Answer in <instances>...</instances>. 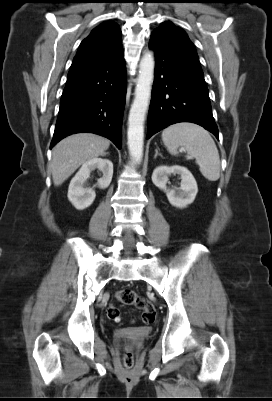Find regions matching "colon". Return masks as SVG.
Segmentation results:
<instances>
[{"label": "colon", "mask_w": 272, "mask_h": 401, "mask_svg": "<svg viewBox=\"0 0 272 401\" xmlns=\"http://www.w3.org/2000/svg\"><path fill=\"white\" fill-rule=\"evenodd\" d=\"M117 300L124 305H133L142 311V322L146 325L154 323L156 311L154 306L145 297L138 295L134 290L126 288L121 289L116 294ZM108 317L114 321H119L121 317L120 310L115 306H110L107 310ZM133 349L126 345L123 353V364L125 368L131 369L133 366Z\"/></svg>", "instance_id": "obj_1"}]
</instances>
